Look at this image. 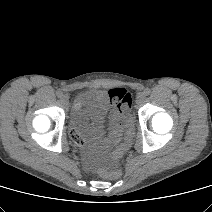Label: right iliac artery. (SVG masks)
I'll return each mask as SVG.
<instances>
[{
	"label": "right iliac artery",
	"instance_id": "1",
	"mask_svg": "<svg viewBox=\"0 0 212 212\" xmlns=\"http://www.w3.org/2000/svg\"><path fill=\"white\" fill-rule=\"evenodd\" d=\"M56 95H57L58 97H61V96L63 95V92H62L60 89H58V90L56 91Z\"/></svg>",
	"mask_w": 212,
	"mask_h": 212
}]
</instances>
